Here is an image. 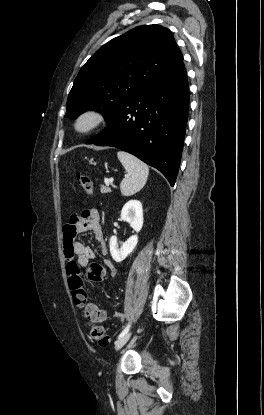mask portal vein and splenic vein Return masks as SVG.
<instances>
[{"mask_svg":"<svg viewBox=\"0 0 264 415\" xmlns=\"http://www.w3.org/2000/svg\"><path fill=\"white\" fill-rule=\"evenodd\" d=\"M111 183H112V181H111V180H108V179H106V180H105V184H106V185H108V186H109Z\"/></svg>","mask_w":264,"mask_h":415,"instance_id":"1","label":"portal vein and splenic vein"}]
</instances>
